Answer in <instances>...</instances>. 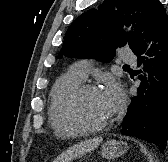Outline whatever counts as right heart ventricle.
Returning <instances> with one entry per match:
<instances>
[{"instance_id":"e07e8e85","label":"right heart ventricle","mask_w":168,"mask_h":162,"mask_svg":"<svg viewBox=\"0 0 168 162\" xmlns=\"http://www.w3.org/2000/svg\"><path fill=\"white\" fill-rule=\"evenodd\" d=\"M82 80L78 78L71 68L63 73L55 81L50 92L48 118L54 132L61 137H74L84 131L71 123L63 112V102L67 94L80 85Z\"/></svg>"}]
</instances>
